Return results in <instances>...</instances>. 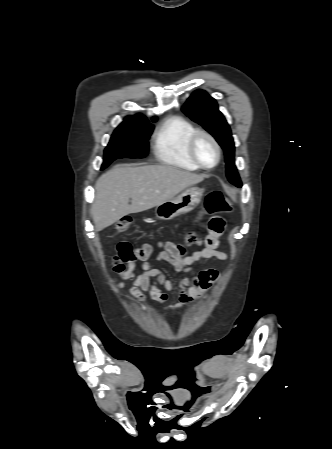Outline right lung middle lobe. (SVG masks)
<instances>
[{"mask_svg": "<svg viewBox=\"0 0 332 449\" xmlns=\"http://www.w3.org/2000/svg\"><path fill=\"white\" fill-rule=\"evenodd\" d=\"M153 128L148 120H124L114 131L105 149L101 169L107 167L115 159L145 157L148 154V139Z\"/></svg>", "mask_w": 332, "mask_h": 449, "instance_id": "1", "label": "right lung middle lobe"}]
</instances>
